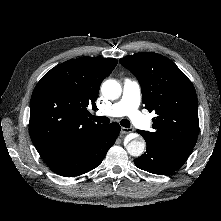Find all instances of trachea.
I'll list each match as a JSON object with an SVG mask.
<instances>
[{
	"label": "trachea",
	"mask_w": 221,
	"mask_h": 221,
	"mask_svg": "<svg viewBox=\"0 0 221 221\" xmlns=\"http://www.w3.org/2000/svg\"><path fill=\"white\" fill-rule=\"evenodd\" d=\"M93 121L95 122H98V123H104V124H107L110 122V119L108 117H105V116H93V115H90L89 116ZM120 124L123 126V127H126V128H129L130 127V121L127 120V119H122L120 121Z\"/></svg>",
	"instance_id": "trachea-1"
}]
</instances>
